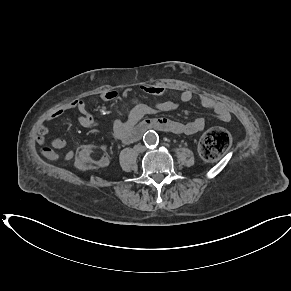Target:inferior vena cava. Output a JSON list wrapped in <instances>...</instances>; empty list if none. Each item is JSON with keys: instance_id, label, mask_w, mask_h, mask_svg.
I'll list each match as a JSON object with an SVG mask.
<instances>
[{"instance_id": "1", "label": "inferior vena cava", "mask_w": 291, "mask_h": 291, "mask_svg": "<svg viewBox=\"0 0 291 291\" xmlns=\"http://www.w3.org/2000/svg\"><path fill=\"white\" fill-rule=\"evenodd\" d=\"M138 150H139L140 152H143V151L145 150V147H144V146H140V147L138 148Z\"/></svg>"}]
</instances>
